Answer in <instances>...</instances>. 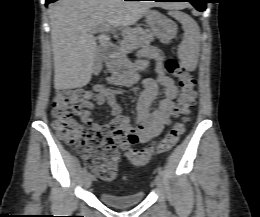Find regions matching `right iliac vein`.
Here are the masks:
<instances>
[{"label":"right iliac vein","instance_id":"obj_1","mask_svg":"<svg viewBox=\"0 0 260 217\" xmlns=\"http://www.w3.org/2000/svg\"><path fill=\"white\" fill-rule=\"evenodd\" d=\"M91 184H92V176L89 173H87L84 176V186L85 188H90Z\"/></svg>","mask_w":260,"mask_h":217}]
</instances>
